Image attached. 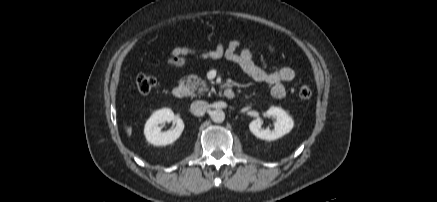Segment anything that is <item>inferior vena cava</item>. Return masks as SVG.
<instances>
[{"label": "inferior vena cava", "mask_w": 437, "mask_h": 202, "mask_svg": "<svg viewBox=\"0 0 437 202\" xmlns=\"http://www.w3.org/2000/svg\"><path fill=\"white\" fill-rule=\"evenodd\" d=\"M209 104L206 101H194L191 104V112L196 116H203L208 109Z\"/></svg>", "instance_id": "602c4592"}]
</instances>
